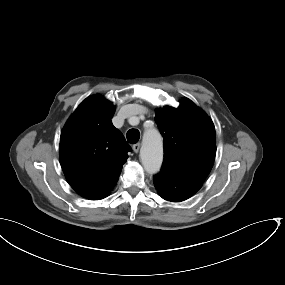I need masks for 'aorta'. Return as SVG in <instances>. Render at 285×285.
Listing matches in <instances>:
<instances>
[{
  "label": "aorta",
  "mask_w": 285,
  "mask_h": 285,
  "mask_svg": "<svg viewBox=\"0 0 285 285\" xmlns=\"http://www.w3.org/2000/svg\"><path fill=\"white\" fill-rule=\"evenodd\" d=\"M140 158L147 173L155 174L160 171L163 161V143L160 133L155 128L144 132Z\"/></svg>",
  "instance_id": "762f6f07"
}]
</instances>
